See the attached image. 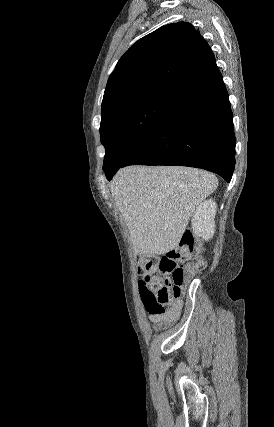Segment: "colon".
I'll list each match as a JSON object with an SVG mask.
<instances>
[{
	"label": "colon",
	"mask_w": 274,
	"mask_h": 427,
	"mask_svg": "<svg viewBox=\"0 0 274 427\" xmlns=\"http://www.w3.org/2000/svg\"><path fill=\"white\" fill-rule=\"evenodd\" d=\"M179 244L181 249L146 256L139 263L138 273L146 279L134 280L133 290L146 295L143 304L150 315L163 314L171 302L181 296L186 281L206 264L201 246L196 248L194 236L188 229L180 230ZM147 286H152L154 291Z\"/></svg>",
	"instance_id": "5ec220e1"
}]
</instances>
